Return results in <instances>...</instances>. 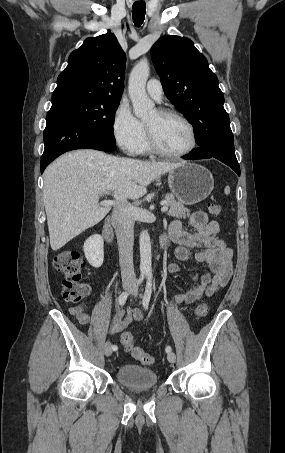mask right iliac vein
Segmentation results:
<instances>
[{
  "instance_id": "63e3f726",
  "label": "right iliac vein",
  "mask_w": 285,
  "mask_h": 453,
  "mask_svg": "<svg viewBox=\"0 0 285 453\" xmlns=\"http://www.w3.org/2000/svg\"><path fill=\"white\" fill-rule=\"evenodd\" d=\"M131 283L130 282H125L123 283V288L128 290L131 288ZM104 353L106 356H110L112 354V344L110 342H106L104 345Z\"/></svg>"
}]
</instances>
